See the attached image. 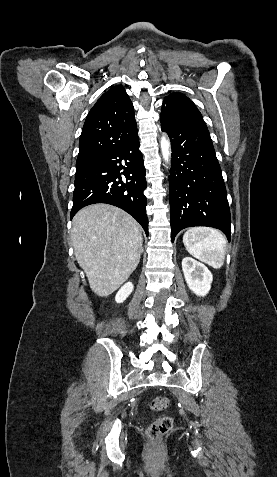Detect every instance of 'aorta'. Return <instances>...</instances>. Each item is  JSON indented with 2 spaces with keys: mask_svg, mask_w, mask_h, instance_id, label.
I'll return each instance as SVG.
<instances>
[{
  "mask_svg": "<svg viewBox=\"0 0 277 477\" xmlns=\"http://www.w3.org/2000/svg\"><path fill=\"white\" fill-rule=\"evenodd\" d=\"M161 151H162V155H163L164 160L166 162H169L170 161V156H171L170 143H169V141H168V139L166 138L165 135L161 138Z\"/></svg>",
  "mask_w": 277,
  "mask_h": 477,
  "instance_id": "obj_1",
  "label": "aorta"
}]
</instances>
